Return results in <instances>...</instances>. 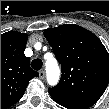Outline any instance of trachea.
<instances>
[{
	"label": "trachea",
	"instance_id": "3493384b",
	"mask_svg": "<svg viewBox=\"0 0 109 109\" xmlns=\"http://www.w3.org/2000/svg\"><path fill=\"white\" fill-rule=\"evenodd\" d=\"M42 60L41 59H34L32 62H31V66L34 70L38 71L42 68Z\"/></svg>",
	"mask_w": 109,
	"mask_h": 109
}]
</instances>
